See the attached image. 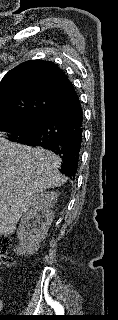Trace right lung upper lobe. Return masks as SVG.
<instances>
[{
  "label": "right lung upper lobe",
  "instance_id": "1",
  "mask_svg": "<svg viewBox=\"0 0 118 320\" xmlns=\"http://www.w3.org/2000/svg\"><path fill=\"white\" fill-rule=\"evenodd\" d=\"M75 96L73 85L53 62L26 61L0 82V120H45L57 106Z\"/></svg>",
  "mask_w": 118,
  "mask_h": 320
}]
</instances>
